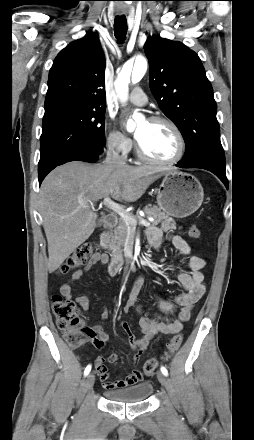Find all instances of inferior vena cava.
I'll list each match as a JSON object with an SVG mask.
<instances>
[{"label":"inferior vena cava","instance_id":"1","mask_svg":"<svg viewBox=\"0 0 254 440\" xmlns=\"http://www.w3.org/2000/svg\"><path fill=\"white\" fill-rule=\"evenodd\" d=\"M105 162L118 166L125 165L124 158L119 154V143L117 141L109 144Z\"/></svg>","mask_w":254,"mask_h":440}]
</instances>
